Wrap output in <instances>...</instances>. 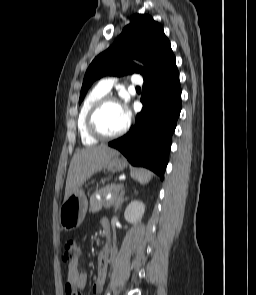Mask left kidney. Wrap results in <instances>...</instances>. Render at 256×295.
Here are the masks:
<instances>
[{
    "mask_svg": "<svg viewBox=\"0 0 256 295\" xmlns=\"http://www.w3.org/2000/svg\"><path fill=\"white\" fill-rule=\"evenodd\" d=\"M145 212V205L137 200L131 201L126 207L124 212V218L130 223L136 224L142 218Z\"/></svg>",
    "mask_w": 256,
    "mask_h": 295,
    "instance_id": "left-kidney-1",
    "label": "left kidney"
}]
</instances>
